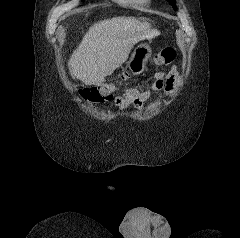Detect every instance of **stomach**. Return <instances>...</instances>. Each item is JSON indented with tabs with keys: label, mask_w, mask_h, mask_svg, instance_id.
Masks as SVG:
<instances>
[{
	"label": "stomach",
	"mask_w": 240,
	"mask_h": 238,
	"mask_svg": "<svg viewBox=\"0 0 240 238\" xmlns=\"http://www.w3.org/2000/svg\"><path fill=\"white\" fill-rule=\"evenodd\" d=\"M152 56V49L149 42H142L133 50L129 60L127 61L126 68L132 75L142 73L146 67L147 62Z\"/></svg>",
	"instance_id": "0dacf381"
}]
</instances>
